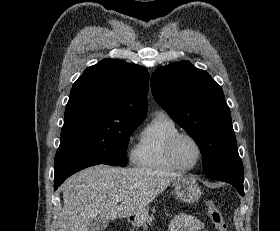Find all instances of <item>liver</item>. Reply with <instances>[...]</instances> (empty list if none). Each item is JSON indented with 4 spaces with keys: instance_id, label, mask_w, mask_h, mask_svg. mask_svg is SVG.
I'll return each instance as SVG.
<instances>
[{
    "instance_id": "1",
    "label": "liver",
    "mask_w": 280,
    "mask_h": 231,
    "mask_svg": "<svg viewBox=\"0 0 280 231\" xmlns=\"http://www.w3.org/2000/svg\"><path fill=\"white\" fill-rule=\"evenodd\" d=\"M176 177L184 175L149 167L93 165L82 169L62 185L64 205L56 231H87L95 217L143 219L147 205Z\"/></svg>"
}]
</instances>
